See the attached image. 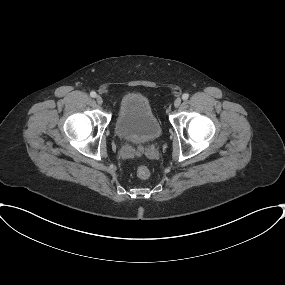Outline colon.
<instances>
[{
	"instance_id": "5ec220e1",
	"label": "colon",
	"mask_w": 285,
	"mask_h": 285,
	"mask_svg": "<svg viewBox=\"0 0 285 285\" xmlns=\"http://www.w3.org/2000/svg\"><path fill=\"white\" fill-rule=\"evenodd\" d=\"M137 176L141 179H147L150 176V170L147 166H140L137 169Z\"/></svg>"
}]
</instances>
